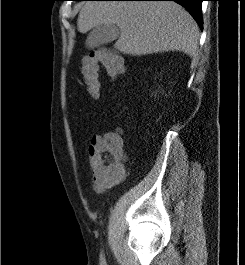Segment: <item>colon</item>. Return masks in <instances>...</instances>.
<instances>
[{"mask_svg":"<svg viewBox=\"0 0 245 265\" xmlns=\"http://www.w3.org/2000/svg\"><path fill=\"white\" fill-rule=\"evenodd\" d=\"M100 65L104 66L112 78L124 72L122 58L106 48L93 50L83 60L82 74L88 93L98 98L101 89ZM124 143L119 133H109L93 156V167L106 178L120 179L123 174Z\"/></svg>","mask_w":245,"mask_h":265,"instance_id":"obj_1","label":"colon"}]
</instances>
